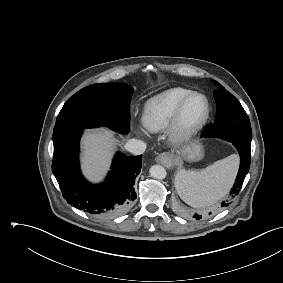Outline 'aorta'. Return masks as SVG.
Returning <instances> with one entry per match:
<instances>
[{
  "label": "aorta",
  "mask_w": 283,
  "mask_h": 283,
  "mask_svg": "<svg viewBox=\"0 0 283 283\" xmlns=\"http://www.w3.org/2000/svg\"><path fill=\"white\" fill-rule=\"evenodd\" d=\"M150 175L155 179L162 180L166 177V169L160 165H153L150 168Z\"/></svg>",
  "instance_id": "762f6f07"
}]
</instances>
